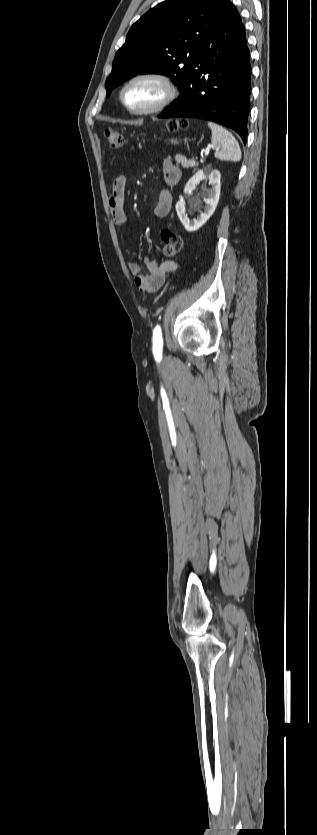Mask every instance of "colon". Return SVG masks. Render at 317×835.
Returning a JSON list of instances; mask_svg holds the SVG:
<instances>
[{"mask_svg": "<svg viewBox=\"0 0 317 835\" xmlns=\"http://www.w3.org/2000/svg\"><path fill=\"white\" fill-rule=\"evenodd\" d=\"M187 127L186 120H172L167 124V128L171 132ZM105 136L110 149L116 150L123 146L124 136L111 128L105 130ZM161 238L163 241L162 253L166 257H174L181 252L183 248V239L175 231L165 228L161 231Z\"/></svg>", "mask_w": 317, "mask_h": 835, "instance_id": "5ec220e1", "label": "colon"}]
</instances>
